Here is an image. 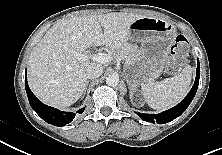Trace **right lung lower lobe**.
I'll list each match as a JSON object with an SVG mask.
<instances>
[{
    "label": "right lung lower lobe",
    "mask_w": 222,
    "mask_h": 155,
    "mask_svg": "<svg viewBox=\"0 0 222 155\" xmlns=\"http://www.w3.org/2000/svg\"><path fill=\"white\" fill-rule=\"evenodd\" d=\"M25 88L32 109L47 123L61 127L73 121L75 113L59 111L56 108L40 102L31 92L28 86L27 76L25 77ZM84 109L85 108H81L77 113L82 114Z\"/></svg>",
    "instance_id": "right-lung-lower-lobe-1"
}]
</instances>
